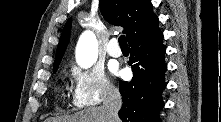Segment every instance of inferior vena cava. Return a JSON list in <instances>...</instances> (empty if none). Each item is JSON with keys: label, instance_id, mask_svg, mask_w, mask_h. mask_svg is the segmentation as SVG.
<instances>
[{"label": "inferior vena cava", "instance_id": "inferior-vena-cava-1", "mask_svg": "<svg viewBox=\"0 0 221 122\" xmlns=\"http://www.w3.org/2000/svg\"><path fill=\"white\" fill-rule=\"evenodd\" d=\"M122 106L121 95L118 90L110 87L104 89L103 108L108 122H118V112Z\"/></svg>", "mask_w": 221, "mask_h": 122}]
</instances>
